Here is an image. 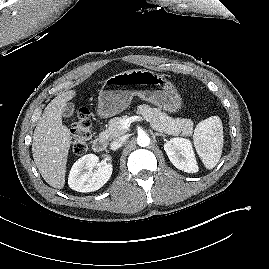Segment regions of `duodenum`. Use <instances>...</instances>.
Masks as SVG:
<instances>
[{"mask_svg": "<svg viewBox=\"0 0 269 269\" xmlns=\"http://www.w3.org/2000/svg\"><path fill=\"white\" fill-rule=\"evenodd\" d=\"M107 145V140L105 137L100 136L93 142V150L96 152H102L105 150Z\"/></svg>", "mask_w": 269, "mask_h": 269, "instance_id": "duodenum-1", "label": "duodenum"}]
</instances>
